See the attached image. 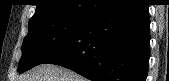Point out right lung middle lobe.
I'll list each match as a JSON object with an SVG mask.
<instances>
[{
	"label": "right lung middle lobe",
	"instance_id": "right-lung-middle-lobe-1",
	"mask_svg": "<svg viewBox=\"0 0 169 81\" xmlns=\"http://www.w3.org/2000/svg\"><path fill=\"white\" fill-rule=\"evenodd\" d=\"M87 20V17L62 15L29 22L28 35L22 44V58L18 71L23 73L42 63L63 47Z\"/></svg>",
	"mask_w": 169,
	"mask_h": 81
}]
</instances>
